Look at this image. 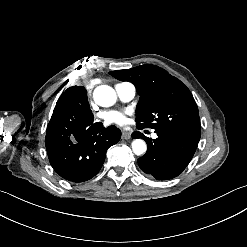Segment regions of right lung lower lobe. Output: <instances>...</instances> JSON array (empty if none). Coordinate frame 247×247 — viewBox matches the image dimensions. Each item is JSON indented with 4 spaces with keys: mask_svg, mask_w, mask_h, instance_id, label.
I'll return each instance as SVG.
<instances>
[{
    "mask_svg": "<svg viewBox=\"0 0 247 247\" xmlns=\"http://www.w3.org/2000/svg\"><path fill=\"white\" fill-rule=\"evenodd\" d=\"M93 114H84L72 107L54 109L58 134L46 133L48 158L55 172L72 182H84L101 169L107 149L121 138V131L93 121Z\"/></svg>",
    "mask_w": 247,
    "mask_h": 247,
    "instance_id": "98d812e1",
    "label": "right lung lower lobe"
}]
</instances>
